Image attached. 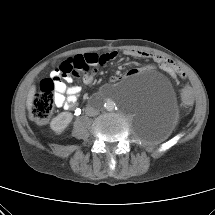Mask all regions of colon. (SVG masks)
<instances>
[{
  "mask_svg": "<svg viewBox=\"0 0 215 215\" xmlns=\"http://www.w3.org/2000/svg\"><path fill=\"white\" fill-rule=\"evenodd\" d=\"M80 68H82V62L79 59L76 61L66 60L55 68L56 75L42 80L40 90L34 95L30 109V114L36 122L41 124L46 123L53 113L56 81L66 76L76 77ZM168 68L177 75L183 76V73L172 63H169V61ZM191 102L192 100L190 95L188 93H184L182 96L183 105L188 107Z\"/></svg>",
  "mask_w": 215,
  "mask_h": 215,
  "instance_id": "obj_1",
  "label": "colon"
}]
</instances>
